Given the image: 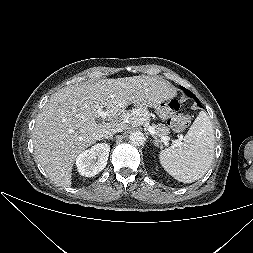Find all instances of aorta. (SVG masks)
<instances>
[{
  "instance_id": "aorta-1",
  "label": "aorta",
  "mask_w": 253,
  "mask_h": 253,
  "mask_svg": "<svg viewBox=\"0 0 253 253\" xmlns=\"http://www.w3.org/2000/svg\"><path fill=\"white\" fill-rule=\"evenodd\" d=\"M129 138H130L131 144H133L135 146H141V145H143V143L145 141L144 134L140 131L131 133Z\"/></svg>"
}]
</instances>
